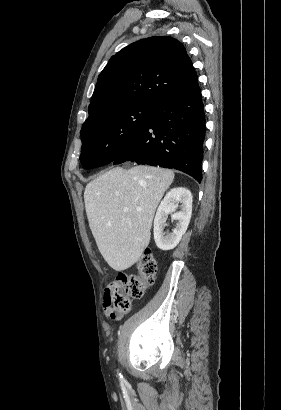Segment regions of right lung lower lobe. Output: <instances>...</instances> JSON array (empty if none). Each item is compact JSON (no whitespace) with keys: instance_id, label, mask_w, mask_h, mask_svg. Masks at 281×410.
Masks as SVG:
<instances>
[{"instance_id":"98d812e1","label":"right lung lower lobe","mask_w":281,"mask_h":410,"mask_svg":"<svg viewBox=\"0 0 281 410\" xmlns=\"http://www.w3.org/2000/svg\"><path fill=\"white\" fill-rule=\"evenodd\" d=\"M205 114L200 87L162 101L134 141L112 162L134 161L183 171L202 180Z\"/></svg>"}]
</instances>
